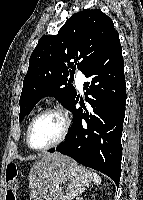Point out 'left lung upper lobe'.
<instances>
[{"label": "left lung upper lobe", "instance_id": "5c2ea615", "mask_svg": "<svg viewBox=\"0 0 143 200\" xmlns=\"http://www.w3.org/2000/svg\"><path fill=\"white\" fill-rule=\"evenodd\" d=\"M117 35L107 15L87 9L73 14L57 35L41 37L23 80L19 119L46 96L70 109L77 94L68 76L73 78L76 66L85 73Z\"/></svg>", "mask_w": 143, "mask_h": 200}]
</instances>
